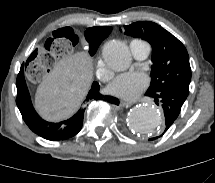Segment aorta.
<instances>
[{"instance_id": "aorta-1", "label": "aorta", "mask_w": 215, "mask_h": 183, "mask_svg": "<svg viewBox=\"0 0 215 183\" xmlns=\"http://www.w3.org/2000/svg\"><path fill=\"white\" fill-rule=\"evenodd\" d=\"M102 56L106 65L114 71H124L131 63V54L127 45L119 40L105 43ZM126 122L130 130L145 135L156 133L163 123L160 112L150 105L133 108Z\"/></svg>"}]
</instances>
